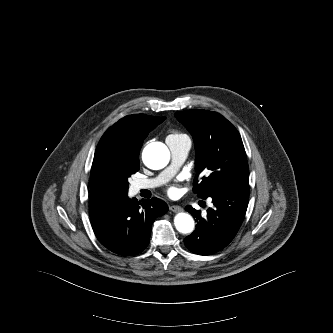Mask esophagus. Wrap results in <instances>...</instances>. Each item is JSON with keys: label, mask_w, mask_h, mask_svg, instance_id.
<instances>
[{"label": "esophagus", "mask_w": 333, "mask_h": 333, "mask_svg": "<svg viewBox=\"0 0 333 333\" xmlns=\"http://www.w3.org/2000/svg\"><path fill=\"white\" fill-rule=\"evenodd\" d=\"M169 210L172 212H180L183 210V208L181 206L178 205H172L169 207Z\"/></svg>", "instance_id": "esophagus-1"}]
</instances>
